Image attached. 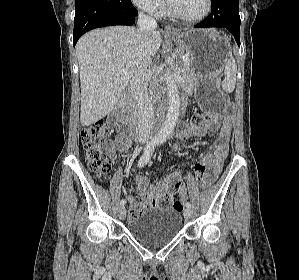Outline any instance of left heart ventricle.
<instances>
[{
    "label": "left heart ventricle",
    "mask_w": 299,
    "mask_h": 280,
    "mask_svg": "<svg viewBox=\"0 0 299 280\" xmlns=\"http://www.w3.org/2000/svg\"><path fill=\"white\" fill-rule=\"evenodd\" d=\"M171 3L178 12L189 18L200 16L206 8V0H171Z\"/></svg>",
    "instance_id": "1"
}]
</instances>
